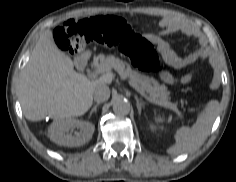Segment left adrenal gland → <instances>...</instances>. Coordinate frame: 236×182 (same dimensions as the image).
I'll return each instance as SVG.
<instances>
[{
  "mask_svg": "<svg viewBox=\"0 0 236 182\" xmlns=\"http://www.w3.org/2000/svg\"><path fill=\"white\" fill-rule=\"evenodd\" d=\"M135 98H136V106H137L138 113H139V115H141V111H142V108L144 107L145 103L139 101L137 96Z\"/></svg>",
  "mask_w": 236,
  "mask_h": 182,
  "instance_id": "a2214340",
  "label": "left adrenal gland"
}]
</instances>
